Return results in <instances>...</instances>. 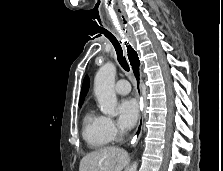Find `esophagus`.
<instances>
[{"label":"esophagus","instance_id":"esophagus-1","mask_svg":"<svg viewBox=\"0 0 223 171\" xmlns=\"http://www.w3.org/2000/svg\"><path fill=\"white\" fill-rule=\"evenodd\" d=\"M111 17L114 18L115 22H118L120 14L119 13H112ZM115 28L118 31H120L121 35L125 34V31L122 30V27L119 24H116ZM130 48H131V46H130ZM127 50H128L127 51V58H128V62H129L130 68H131V72H132L133 77H134L135 90H136V93H137V97L140 101V109H141L138 125H137V128L135 130L134 136L131 140V144L135 145V144H137L138 140L141 137L142 127H143V116H142V106H141V101H142V91H141V67H142V62H141L140 57L138 55V51H136L135 49L133 50L132 48H131V51H129L128 46H127Z\"/></svg>","mask_w":223,"mask_h":171}]
</instances>
